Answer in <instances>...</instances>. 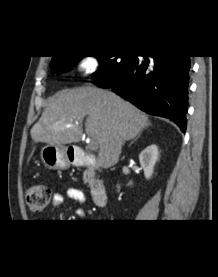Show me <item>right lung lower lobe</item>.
<instances>
[{
  "instance_id": "1",
  "label": "right lung lower lobe",
  "mask_w": 218,
  "mask_h": 277,
  "mask_svg": "<svg viewBox=\"0 0 218 277\" xmlns=\"http://www.w3.org/2000/svg\"><path fill=\"white\" fill-rule=\"evenodd\" d=\"M137 58L114 83L97 82L139 109L173 120L186 131L190 56Z\"/></svg>"
}]
</instances>
